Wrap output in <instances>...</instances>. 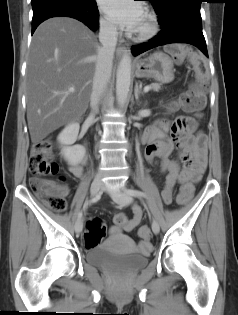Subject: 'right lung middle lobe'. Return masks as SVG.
I'll return each instance as SVG.
<instances>
[{
	"mask_svg": "<svg viewBox=\"0 0 238 315\" xmlns=\"http://www.w3.org/2000/svg\"><path fill=\"white\" fill-rule=\"evenodd\" d=\"M76 1L85 3V4L94 2V0H76Z\"/></svg>",
	"mask_w": 238,
	"mask_h": 315,
	"instance_id": "dd1d6c3e",
	"label": "right lung middle lobe"
}]
</instances>
